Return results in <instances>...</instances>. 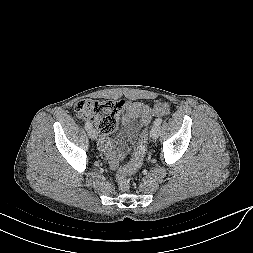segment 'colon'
<instances>
[{
	"instance_id": "1",
	"label": "colon",
	"mask_w": 253,
	"mask_h": 253,
	"mask_svg": "<svg viewBox=\"0 0 253 253\" xmlns=\"http://www.w3.org/2000/svg\"><path fill=\"white\" fill-rule=\"evenodd\" d=\"M123 109L124 101H98L92 99L81 100L74 106L77 116L92 120L98 131L104 135L115 129L118 116ZM146 150L147 133L143 132L131 160L117 172V185L121 191H128L130 189L129 176L141 167Z\"/></svg>"
}]
</instances>
